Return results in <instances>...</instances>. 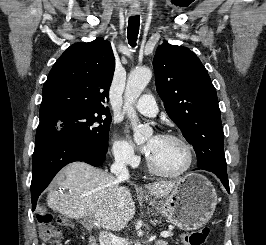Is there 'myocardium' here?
Here are the masks:
<instances>
[{"instance_id": "1", "label": "myocardium", "mask_w": 266, "mask_h": 245, "mask_svg": "<svg viewBox=\"0 0 266 245\" xmlns=\"http://www.w3.org/2000/svg\"><path fill=\"white\" fill-rule=\"evenodd\" d=\"M160 137H163L165 139H169V140H175L180 142L186 149L187 152V161H186V165L184 166V168L178 172V173H173V174H168V173H162L158 170H156L153 165L151 164L149 158L147 159V168L148 171L150 172V174H152L155 177H159V178H166V179H177V178H181L183 177L186 173H188L190 171V169L193 166L194 163V149L192 147V145L190 144V142L184 138L183 136L179 135V134H175V133H163L160 135Z\"/></svg>"}]
</instances>
